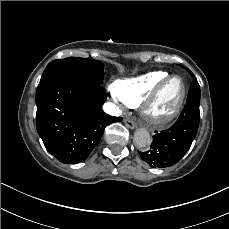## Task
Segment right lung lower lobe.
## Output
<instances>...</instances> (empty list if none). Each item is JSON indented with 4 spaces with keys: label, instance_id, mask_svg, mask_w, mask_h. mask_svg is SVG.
<instances>
[{
    "label": "right lung lower lobe",
    "instance_id": "1",
    "mask_svg": "<svg viewBox=\"0 0 229 229\" xmlns=\"http://www.w3.org/2000/svg\"><path fill=\"white\" fill-rule=\"evenodd\" d=\"M36 128L46 149L65 164L84 161L104 129L121 121L101 109L106 94L94 81L73 76L57 78L37 89Z\"/></svg>",
    "mask_w": 229,
    "mask_h": 229
}]
</instances>
